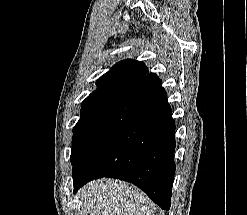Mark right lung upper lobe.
<instances>
[{"label":"right lung upper lobe","mask_w":247,"mask_h":215,"mask_svg":"<svg viewBox=\"0 0 247 215\" xmlns=\"http://www.w3.org/2000/svg\"><path fill=\"white\" fill-rule=\"evenodd\" d=\"M145 64L137 60H123L114 65L97 81V91L128 89L147 76Z\"/></svg>","instance_id":"cb5924a9"}]
</instances>
